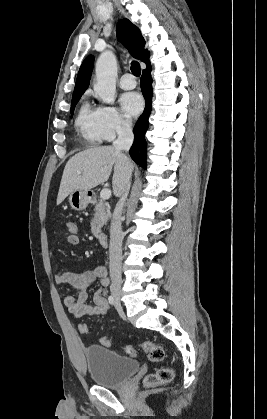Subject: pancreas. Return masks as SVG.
<instances>
[{
  "instance_id": "obj_1",
  "label": "pancreas",
  "mask_w": 267,
  "mask_h": 419,
  "mask_svg": "<svg viewBox=\"0 0 267 419\" xmlns=\"http://www.w3.org/2000/svg\"><path fill=\"white\" fill-rule=\"evenodd\" d=\"M94 218L91 221V232L95 237H99L101 228L105 225L111 216L110 207L103 200L96 203L94 207Z\"/></svg>"
}]
</instances>
